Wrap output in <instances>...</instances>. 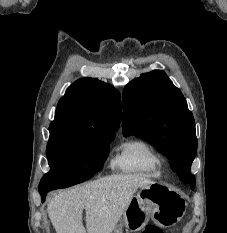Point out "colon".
I'll return each instance as SVG.
<instances>
[{
  "mask_svg": "<svg viewBox=\"0 0 227 233\" xmlns=\"http://www.w3.org/2000/svg\"><path fill=\"white\" fill-rule=\"evenodd\" d=\"M142 233H163V231L156 226L149 225L144 228Z\"/></svg>",
  "mask_w": 227,
  "mask_h": 233,
  "instance_id": "colon-1",
  "label": "colon"
}]
</instances>
